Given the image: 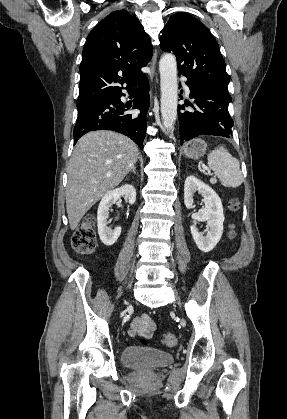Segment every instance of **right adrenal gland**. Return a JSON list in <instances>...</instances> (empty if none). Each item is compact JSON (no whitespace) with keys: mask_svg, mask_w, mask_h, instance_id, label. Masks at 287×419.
Returning <instances> with one entry per match:
<instances>
[{"mask_svg":"<svg viewBox=\"0 0 287 419\" xmlns=\"http://www.w3.org/2000/svg\"><path fill=\"white\" fill-rule=\"evenodd\" d=\"M132 172L136 175V166H133V167L131 168L130 173H132Z\"/></svg>","mask_w":287,"mask_h":419,"instance_id":"obj_1","label":"right adrenal gland"}]
</instances>
